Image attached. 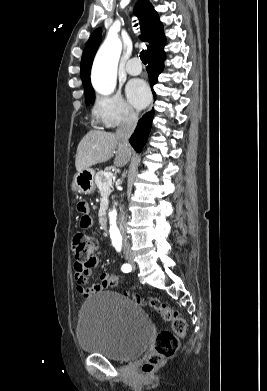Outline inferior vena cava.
Instances as JSON below:
<instances>
[{"label":"inferior vena cava","mask_w":267,"mask_h":391,"mask_svg":"<svg viewBox=\"0 0 267 391\" xmlns=\"http://www.w3.org/2000/svg\"><path fill=\"white\" fill-rule=\"evenodd\" d=\"M138 122V114L135 113L134 111H128L125 114L124 119L122 120L121 124L116 130V137L119 139L121 145L123 148L127 151L130 150L129 146V138L134 132L136 125ZM124 220L125 216L124 213L122 212L120 219H119V226L121 229L122 237H123V248L125 252L130 251V243L128 241L126 232L124 230Z\"/></svg>","instance_id":"inferior-vena-cava-1"}]
</instances>
